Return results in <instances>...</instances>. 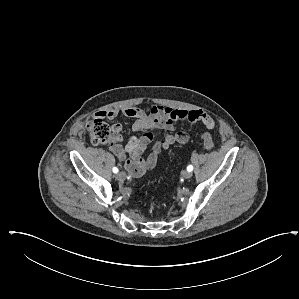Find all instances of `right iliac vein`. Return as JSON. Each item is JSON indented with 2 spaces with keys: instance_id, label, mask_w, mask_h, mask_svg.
Wrapping results in <instances>:
<instances>
[{
  "instance_id": "obj_1",
  "label": "right iliac vein",
  "mask_w": 299,
  "mask_h": 299,
  "mask_svg": "<svg viewBox=\"0 0 299 299\" xmlns=\"http://www.w3.org/2000/svg\"><path fill=\"white\" fill-rule=\"evenodd\" d=\"M116 178L120 181L123 182L126 179V173L125 172H119L116 175Z\"/></svg>"
}]
</instances>
